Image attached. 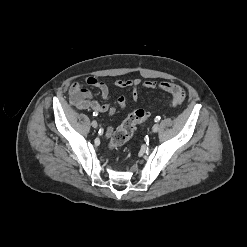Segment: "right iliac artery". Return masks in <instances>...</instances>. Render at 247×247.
<instances>
[{"label":"right iliac artery","instance_id":"1","mask_svg":"<svg viewBox=\"0 0 247 247\" xmlns=\"http://www.w3.org/2000/svg\"><path fill=\"white\" fill-rule=\"evenodd\" d=\"M93 115L97 116V113H96V114H95V113H93Z\"/></svg>","mask_w":247,"mask_h":247}]
</instances>
